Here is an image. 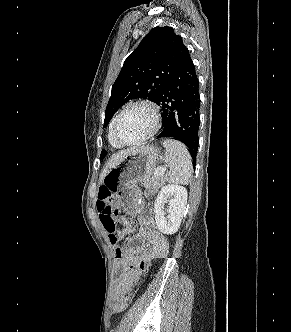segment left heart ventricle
<instances>
[{"mask_svg": "<svg viewBox=\"0 0 291 332\" xmlns=\"http://www.w3.org/2000/svg\"><path fill=\"white\" fill-rule=\"evenodd\" d=\"M153 126L150 111L142 106L128 109L118 124V134L126 141L137 140L145 136Z\"/></svg>", "mask_w": 291, "mask_h": 332, "instance_id": "1", "label": "left heart ventricle"}]
</instances>
